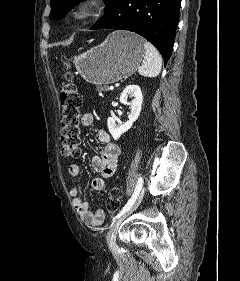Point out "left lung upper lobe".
I'll use <instances>...</instances> for the list:
<instances>
[{"instance_id": "5c2ea615", "label": "left lung upper lobe", "mask_w": 240, "mask_h": 281, "mask_svg": "<svg viewBox=\"0 0 240 281\" xmlns=\"http://www.w3.org/2000/svg\"><path fill=\"white\" fill-rule=\"evenodd\" d=\"M83 0H51V12L49 19H60L65 16L68 11ZM113 0H104L106 8ZM105 8V9H106Z\"/></svg>"}]
</instances>
